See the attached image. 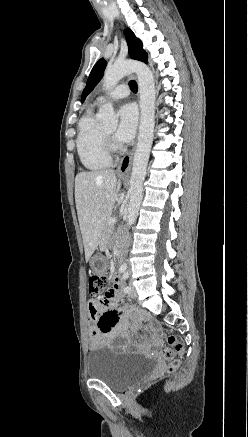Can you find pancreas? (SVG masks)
I'll use <instances>...</instances> for the list:
<instances>
[{
	"instance_id": "pancreas-1",
	"label": "pancreas",
	"mask_w": 248,
	"mask_h": 437,
	"mask_svg": "<svg viewBox=\"0 0 248 437\" xmlns=\"http://www.w3.org/2000/svg\"><path fill=\"white\" fill-rule=\"evenodd\" d=\"M108 220H109V219H108ZM108 220L106 221V224H105V230H106L107 232H110V231L112 230V226L108 224Z\"/></svg>"
}]
</instances>
